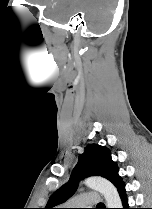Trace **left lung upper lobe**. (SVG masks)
Segmentation results:
<instances>
[{
	"label": "left lung upper lobe",
	"instance_id": "obj_1",
	"mask_svg": "<svg viewBox=\"0 0 152 209\" xmlns=\"http://www.w3.org/2000/svg\"><path fill=\"white\" fill-rule=\"evenodd\" d=\"M118 170L117 163L111 159V152L107 147L98 144L88 145L84 153L79 155L69 181L50 196L43 209H55V206L69 199L77 190L79 181L85 177H104L118 189L123 183Z\"/></svg>",
	"mask_w": 152,
	"mask_h": 209
}]
</instances>
